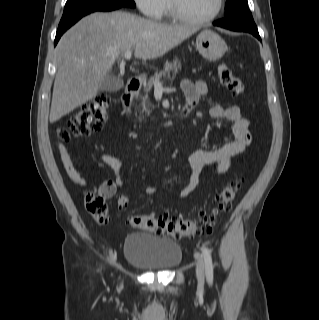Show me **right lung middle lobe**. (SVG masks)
I'll return each mask as SVG.
<instances>
[{"label":"right lung middle lobe","mask_w":319,"mask_h":320,"mask_svg":"<svg viewBox=\"0 0 319 320\" xmlns=\"http://www.w3.org/2000/svg\"><path fill=\"white\" fill-rule=\"evenodd\" d=\"M115 6L135 7L133 0H67L59 26L97 9Z\"/></svg>","instance_id":"right-lung-middle-lobe-1"}]
</instances>
